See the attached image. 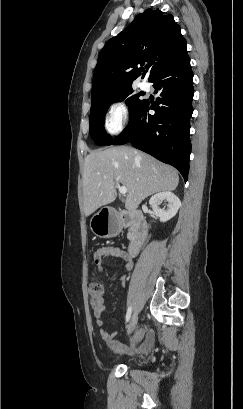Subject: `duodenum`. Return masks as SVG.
<instances>
[{
	"instance_id": "duodenum-1",
	"label": "duodenum",
	"mask_w": 243,
	"mask_h": 409,
	"mask_svg": "<svg viewBox=\"0 0 243 409\" xmlns=\"http://www.w3.org/2000/svg\"><path fill=\"white\" fill-rule=\"evenodd\" d=\"M122 222L125 225L129 223L133 225L128 253L130 256H136L141 250L143 241L147 236V222L144 215L138 210L124 213L122 216Z\"/></svg>"
}]
</instances>
